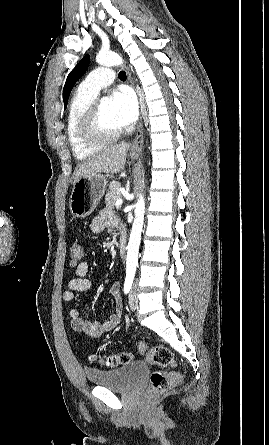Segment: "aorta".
<instances>
[{
  "instance_id": "obj_1",
  "label": "aorta",
  "mask_w": 269,
  "mask_h": 445,
  "mask_svg": "<svg viewBox=\"0 0 269 445\" xmlns=\"http://www.w3.org/2000/svg\"><path fill=\"white\" fill-rule=\"evenodd\" d=\"M96 62L103 66H117L121 65L123 63V60L118 54L114 52L101 51L96 56ZM101 102L102 104H107L109 102V99L107 97H104ZM144 213L145 201L144 197L140 195L135 205V219L127 246L126 274L128 276H133L135 274L138 265V252L144 223Z\"/></svg>"
}]
</instances>
